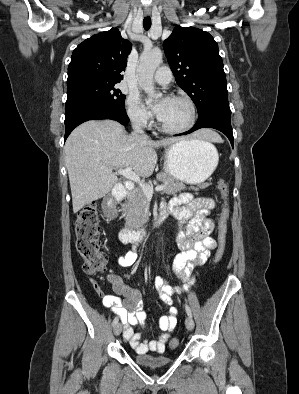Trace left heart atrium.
<instances>
[{
  "mask_svg": "<svg viewBox=\"0 0 299 394\" xmlns=\"http://www.w3.org/2000/svg\"><path fill=\"white\" fill-rule=\"evenodd\" d=\"M167 99H163L153 106L154 112L158 115V117L162 114L165 109Z\"/></svg>",
  "mask_w": 299,
  "mask_h": 394,
  "instance_id": "left-heart-atrium-1",
  "label": "left heart atrium"
}]
</instances>
